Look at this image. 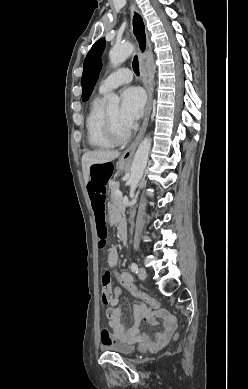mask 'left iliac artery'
<instances>
[{
  "label": "left iliac artery",
  "instance_id": "obj_1",
  "mask_svg": "<svg viewBox=\"0 0 248 389\" xmlns=\"http://www.w3.org/2000/svg\"><path fill=\"white\" fill-rule=\"evenodd\" d=\"M131 271L134 272V273L138 272V266H137L136 263H132L131 264Z\"/></svg>",
  "mask_w": 248,
  "mask_h": 389
}]
</instances>
